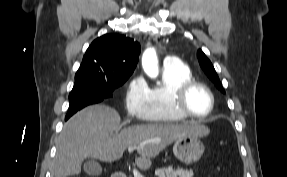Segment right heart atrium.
<instances>
[{
  "instance_id": "1",
  "label": "right heart atrium",
  "mask_w": 287,
  "mask_h": 177,
  "mask_svg": "<svg viewBox=\"0 0 287 177\" xmlns=\"http://www.w3.org/2000/svg\"><path fill=\"white\" fill-rule=\"evenodd\" d=\"M148 93L149 87L145 79L139 76L131 79L125 90V108L138 120L146 118Z\"/></svg>"
}]
</instances>
